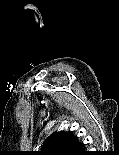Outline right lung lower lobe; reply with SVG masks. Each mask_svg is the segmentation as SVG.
Listing matches in <instances>:
<instances>
[{"label": "right lung lower lobe", "instance_id": "obj_1", "mask_svg": "<svg viewBox=\"0 0 119 155\" xmlns=\"http://www.w3.org/2000/svg\"><path fill=\"white\" fill-rule=\"evenodd\" d=\"M65 155H88L87 151H85V145L81 142H77L74 144Z\"/></svg>", "mask_w": 119, "mask_h": 155}]
</instances>
